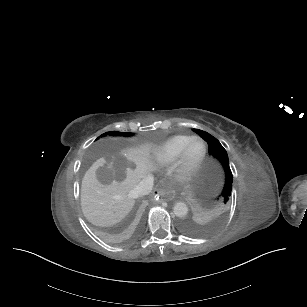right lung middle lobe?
I'll return each mask as SVG.
<instances>
[{"mask_svg":"<svg viewBox=\"0 0 307 307\" xmlns=\"http://www.w3.org/2000/svg\"><path fill=\"white\" fill-rule=\"evenodd\" d=\"M106 135L130 136V135H132V133L110 131V132H106V133L102 134L101 137L106 136Z\"/></svg>","mask_w":307,"mask_h":307,"instance_id":"obj_1","label":"right lung middle lobe"}]
</instances>
